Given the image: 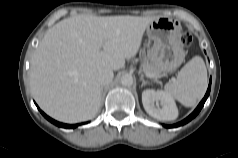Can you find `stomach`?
I'll return each instance as SVG.
<instances>
[{"mask_svg": "<svg viewBox=\"0 0 238 158\" xmlns=\"http://www.w3.org/2000/svg\"><path fill=\"white\" fill-rule=\"evenodd\" d=\"M146 32L153 40L147 55L150 64L155 66L159 75L176 70L185 57L176 22L170 18H157L147 26Z\"/></svg>", "mask_w": 238, "mask_h": 158, "instance_id": "0dacf381", "label": "stomach"}]
</instances>
